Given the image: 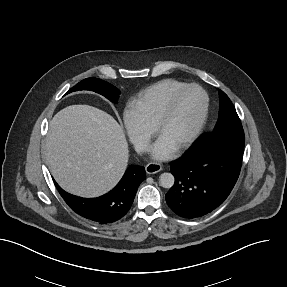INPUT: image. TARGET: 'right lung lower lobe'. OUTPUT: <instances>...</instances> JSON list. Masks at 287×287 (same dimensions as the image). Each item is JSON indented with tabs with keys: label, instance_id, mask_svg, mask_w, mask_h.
I'll return each instance as SVG.
<instances>
[{
	"label": "right lung lower lobe",
	"instance_id": "obj_1",
	"mask_svg": "<svg viewBox=\"0 0 287 287\" xmlns=\"http://www.w3.org/2000/svg\"><path fill=\"white\" fill-rule=\"evenodd\" d=\"M145 179L144 167L132 166L110 192L92 199L71 195L56 182L55 185L68 206L78 215L99 224H109L120 220L129 211L137 189Z\"/></svg>",
	"mask_w": 287,
	"mask_h": 287
}]
</instances>
